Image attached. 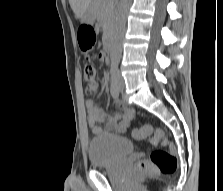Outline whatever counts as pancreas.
Masks as SVG:
<instances>
[{
  "label": "pancreas",
  "mask_w": 223,
  "mask_h": 191,
  "mask_svg": "<svg viewBox=\"0 0 223 191\" xmlns=\"http://www.w3.org/2000/svg\"><path fill=\"white\" fill-rule=\"evenodd\" d=\"M92 9L95 12V16L102 24L105 31L108 30L113 13V3L111 0H93Z\"/></svg>",
  "instance_id": "pancreas-1"
}]
</instances>
